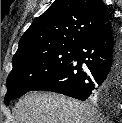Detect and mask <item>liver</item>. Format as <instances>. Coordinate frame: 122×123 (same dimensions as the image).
I'll return each mask as SVG.
<instances>
[{"label":"liver","instance_id":"6515ba94","mask_svg":"<svg viewBox=\"0 0 122 123\" xmlns=\"http://www.w3.org/2000/svg\"><path fill=\"white\" fill-rule=\"evenodd\" d=\"M14 123H99L100 114L86 102L51 92H31L15 105Z\"/></svg>","mask_w":122,"mask_h":123}]
</instances>
